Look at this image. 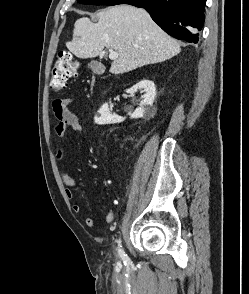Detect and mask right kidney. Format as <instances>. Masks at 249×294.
<instances>
[{"label": "right kidney", "instance_id": "obj_1", "mask_svg": "<svg viewBox=\"0 0 249 294\" xmlns=\"http://www.w3.org/2000/svg\"><path fill=\"white\" fill-rule=\"evenodd\" d=\"M138 90H143L145 95L138 103V107L131 114V118H147L150 119L156 113V109L153 108V102L156 96L155 84L150 80H142L135 84L133 87L127 90V92L133 96ZM124 120L121 116L111 113L107 103L103 104L94 116V122L98 125L120 123Z\"/></svg>", "mask_w": 249, "mask_h": 294}]
</instances>
